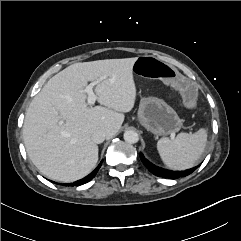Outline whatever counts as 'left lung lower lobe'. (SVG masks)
<instances>
[{
    "mask_svg": "<svg viewBox=\"0 0 241 241\" xmlns=\"http://www.w3.org/2000/svg\"><path fill=\"white\" fill-rule=\"evenodd\" d=\"M140 159L145 165V167L154 175L159 176V177H164V178H170V179H177L179 177H185L189 174H191L193 171L197 169V167H194L192 169H188L186 171H172V170H167L163 169L161 167H158L151 162H149L142 153L139 154Z\"/></svg>",
    "mask_w": 241,
    "mask_h": 241,
    "instance_id": "left-lung-lower-lobe-1",
    "label": "left lung lower lobe"
}]
</instances>
